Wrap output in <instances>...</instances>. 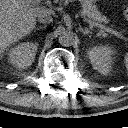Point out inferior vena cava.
I'll use <instances>...</instances> for the list:
<instances>
[{"mask_svg":"<svg viewBox=\"0 0 128 128\" xmlns=\"http://www.w3.org/2000/svg\"><path fill=\"white\" fill-rule=\"evenodd\" d=\"M52 17L50 16L49 11L42 12L38 15V21L40 23H50L52 22Z\"/></svg>","mask_w":128,"mask_h":128,"instance_id":"obj_1","label":"inferior vena cava"}]
</instances>
